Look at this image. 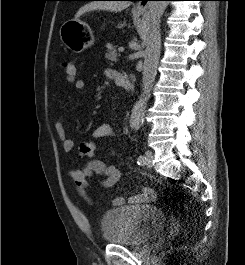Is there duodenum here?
I'll list each match as a JSON object with an SVG mask.
<instances>
[{
  "label": "duodenum",
  "mask_w": 245,
  "mask_h": 265,
  "mask_svg": "<svg viewBox=\"0 0 245 265\" xmlns=\"http://www.w3.org/2000/svg\"><path fill=\"white\" fill-rule=\"evenodd\" d=\"M116 85L121 86L127 90L133 89L132 77L125 73L117 72V75L114 77Z\"/></svg>",
  "instance_id": "410a0bca"
}]
</instances>
